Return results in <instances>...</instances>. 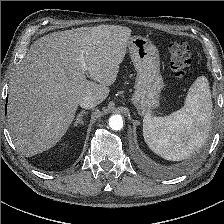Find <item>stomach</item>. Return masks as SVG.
<instances>
[{"label":"stomach","mask_w":224,"mask_h":224,"mask_svg":"<svg viewBox=\"0 0 224 224\" xmlns=\"http://www.w3.org/2000/svg\"><path fill=\"white\" fill-rule=\"evenodd\" d=\"M127 48L137 71L131 102L140 115H146L159 105L164 86L158 50L149 39L141 36L130 37Z\"/></svg>","instance_id":"1"}]
</instances>
